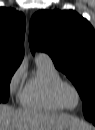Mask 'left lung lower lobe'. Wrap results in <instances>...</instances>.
I'll list each match as a JSON object with an SVG mask.
<instances>
[{
	"label": "left lung lower lobe",
	"instance_id": "obj_1",
	"mask_svg": "<svg viewBox=\"0 0 95 130\" xmlns=\"http://www.w3.org/2000/svg\"><path fill=\"white\" fill-rule=\"evenodd\" d=\"M88 120L95 124V118H89Z\"/></svg>",
	"mask_w": 95,
	"mask_h": 130
}]
</instances>
